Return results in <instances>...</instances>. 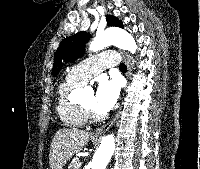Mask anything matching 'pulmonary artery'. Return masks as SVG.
<instances>
[{"instance_id": "pulmonary-artery-1", "label": "pulmonary artery", "mask_w": 200, "mask_h": 169, "mask_svg": "<svg viewBox=\"0 0 200 169\" xmlns=\"http://www.w3.org/2000/svg\"><path fill=\"white\" fill-rule=\"evenodd\" d=\"M118 63L119 58L115 52H103L93 55L87 60L77 64L71 69L67 77L75 82L83 84L92 77L98 75L105 68L116 66Z\"/></svg>"}]
</instances>
